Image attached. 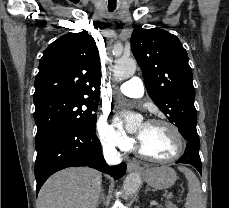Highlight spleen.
<instances>
[{
	"label": "spleen",
	"mask_w": 229,
	"mask_h": 208,
	"mask_svg": "<svg viewBox=\"0 0 229 208\" xmlns=\"http://www.w3.org/2000/svg\"><path fill=\"white\" fill-rule=\"evenodd\" d=\"M178 170L179 172H183L188 182L189 192L186 200V208H200L202 192L198 178H196L194 172H191L188 168H183V166H180Z\"/></svg>",
	"instance_id": "spleen-1"
}]
</instances>
